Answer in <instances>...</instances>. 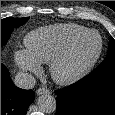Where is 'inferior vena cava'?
<instances>
[{
	"instance_id": "1",
	"label": "inferior vena cava",
	"mask_w": 115,
	"mask_h": 115,
	"mask_svg": "<svg viewBox=\"0 0 115 115\" xmlns=\"http://www.w3.org/2000/svg\"><path fill=\"white\" fill-rule=\"evenodd\" d=\"M36 80L33 75L27 72H18L14 79V84L22 89H32L35 86Z\"/></svg>"
}]
</instances>
